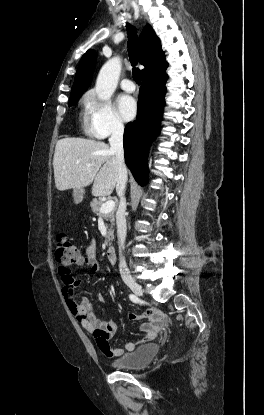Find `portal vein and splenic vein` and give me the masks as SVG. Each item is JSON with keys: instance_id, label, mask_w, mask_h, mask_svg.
Returning a JSON list of instances; mask_svg holds the SVG:
<instances>
[{"instance_id": "18ae733b", "label": "portal vein and splenic vein", "mask_w": 264, "mask_h": 415, "mask_svg": "<svg viewBox=\"0 0 264 415\" xmlns=\"http://www.w3.org/2000/svg\"><path fill=\"white\" fill-rule=\"evenodd\" d=\"M115 208V202L113 200H108L107 202H105L101 208H100V213L101 214H105V213H109L111 212L113 209Z\"/></svg>"}]
</instances>
